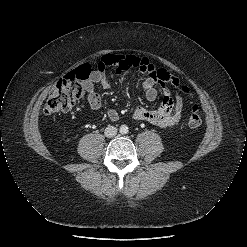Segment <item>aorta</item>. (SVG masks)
I'll return each instance as SVG.
<instances>
[{"mask_svg": "<svg viewBox=\"0 0 247 247\" xmlns=\"http://www.w3.org/2000/svg\"><path fill=\"white\" fill-rule=\"evenodd\" d=\"M128 131H129V129L126 125L120 126V133L121 134H126V133H128Z\"/></svg>", "mask_w": 247, "mask_h": 247, "instance_id": "762f6f07", "label": "aorta"}]
</instances>
